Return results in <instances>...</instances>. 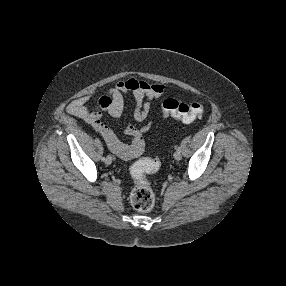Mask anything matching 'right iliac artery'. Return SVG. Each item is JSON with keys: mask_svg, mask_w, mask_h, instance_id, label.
I'll list each match as a JSON object with an SVG mask.
<instances>
[{"mask_svg": "<svg viewBox=\"0 0 286 286\" xmlns=\"http://www.w3.org/2000/svg\"><path fill=\"white\" fill-rule=\"evenodd\" d=\"M105 160H106V158H105V157H103V158H102V161H105Z\"/></svg>", "mask_w": 286, "mask_h": 286, "instance_id": "82829eb1", "label": "right iliac artery"}]
</instances>
